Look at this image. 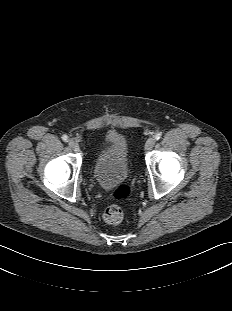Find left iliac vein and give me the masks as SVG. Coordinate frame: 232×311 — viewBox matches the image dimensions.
<instances>
[{
	"mask_svg": "<svg viewBox=\"0 0 232 311\" xmlns=\"http://www.w3.org/2000/svg\"><path fill=\"white\" fill-rule=\"evenodd\" d=\"M155 145V139L154 138H149L147 142L145 143V150L149 151L153 148Z\"/></svg>",
	"mask_w": 232,
	"mask_h": 311,
	"instance_id": "left-iliac-vein-1",
	"label": "left iliac vein"
}]
</instances>
